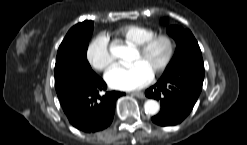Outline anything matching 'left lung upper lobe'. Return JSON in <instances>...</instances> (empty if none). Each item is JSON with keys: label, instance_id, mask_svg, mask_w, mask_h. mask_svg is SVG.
I'll return each instance as SVG.
<instances>
[{"label": "left lung upper lobe", "instance_id": "1", "mask_svg": "<svg viewBox=\"0 0 247 145\" xmlns=\"http://www.w3.org/2000/svg\"><path fill=\"white\" fill-rule=\"evenodd\" d=\"M167 32L175 39L177 47L164 73L173 72L184 66L203 67L201 50L190 30L171 25Z\"/></svg>", "mask_w": 247, "mask_h": 145}]
</instances>
